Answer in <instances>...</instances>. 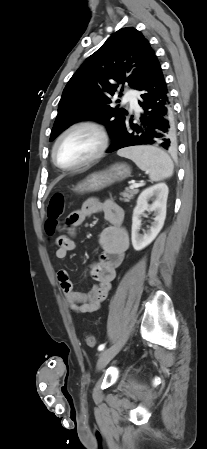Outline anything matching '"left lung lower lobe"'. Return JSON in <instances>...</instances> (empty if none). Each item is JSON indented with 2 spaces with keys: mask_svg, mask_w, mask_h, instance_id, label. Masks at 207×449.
Wrapping results in <instances>:
<instances>
[{
  "mask_svg": "<svg viewBox=\"0 0 207 449\" xmlns=\"http://www.w3.org/2000/svg\"><path fill=\"white\" fill-rule=\"evenodd\" d=\"M138 90L142 92L138 103L144 112L138 123H133L132 118L126 119L107 152L134 145H156L166 150H175V113L158 60L152 65Z\"/></svg>",
  "mask_w": 207,
  "mask_h": 449,
  "instance_id": "1",
  "label": "left lung lower lobe"
}]
</instances>
